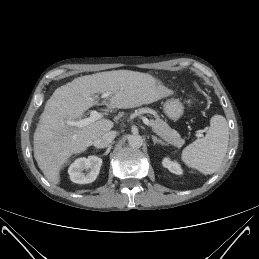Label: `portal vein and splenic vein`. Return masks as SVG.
I'll use <instances>...</instances> for the list:
<instances>
[{
	"label": "portal vein and splenic vein",
	"mask_w": 259,
	"mask_h": 259,
	"mask_svg": "<svg viewBox=\"0 0 259 259\" xmlns=\"http://www.w3.org/2000/svg\"><path fill=\"white\" fill-rule=\"evenodd\" d=\"M110 94H111L110 92H106L101 95V98H106V97L110 96ZM95 99H99V97H95ZM101 117H102L101 113L93 110V111H91L90 116L88 118H84V119H81L78 121H68L67 124L70 126L82 128V127H85L87 125L94 123L96 120L100 119ZM142 120L145 125L151 126L150 121L146 117H143Z\"/></svg>",
	"instance_id": "obj_1"
}]
</instances>
